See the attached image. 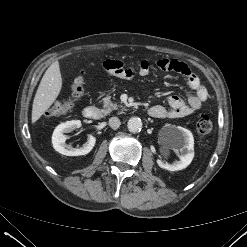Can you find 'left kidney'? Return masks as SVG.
<instances>
[{
    "label": "left kidney",
    "instance_id": "1",
    "mask_svg": "<svg viewBox=\"0 0 247 247\" xmlns=\"http://www.w3.org/2000/svg\"><path fill=\"white\" fill-rule=\"evenodd\" d=\"M170 147L173 150H179L181 152L180 160L175 161L173 164L158 160V165L168 171L185 169L194 157V138L191 131L180 126L174 127L170 138Z\"/></svg>",
    "mask_w": 247,
    "mask_h": 247
}]
</instances>
